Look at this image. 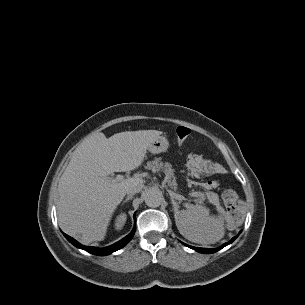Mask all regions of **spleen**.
Here are the masks:
<instances>
[{"mask_svg": "<svg viewBox=\"0 0 305 305\" xmlns=\"http://www.w3.org/2000/svg\"><path fill=\"white\" fill-rule=\"evenodd\" d=\"M174 218L180 234L194 243L213 244L225 233L223 215L211 216L201 205H187L186 210L176 211Z\"/></svg>", "mask_w": 305, "mask_h": 305, "instance_id": "spleen-1", "label": "spleen"}]
</instances>
